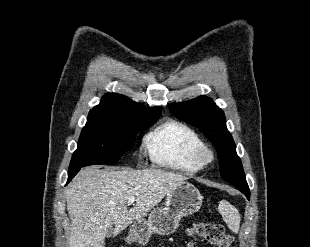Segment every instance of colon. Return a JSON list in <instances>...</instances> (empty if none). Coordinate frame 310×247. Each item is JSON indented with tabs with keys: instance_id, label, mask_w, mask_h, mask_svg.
<instances>
[{
	"instance_id": "colon-1",
	"label": "colon",
	"mask_w": 310,
	"mask_h": 247,
	"mask_svg": "<svg viewBox=\"0 0 310 247\" xmlns=\"http://www.w3.org/2000/svg\"><path fill=\"white\" fill-rule=\"evenodd\" d=\"M191 236L199 237L216 247H231L233 238L223 225L214 222H198L190 229Z\"/></svg>"
}]
</instances>
